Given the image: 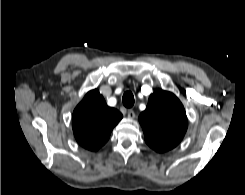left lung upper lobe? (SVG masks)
<instances>
[{
  "mask_svg": "<svg viewBox=\"0 0 245 195\" xmlns=\"http://www.w3.org/2000/svg\"><path fill=\"white\" fill-rule=\"evenodd\" d=\"M139 122L146 143L160 153L176 147L188 126L185 109L179 99L171 92L160 89L149 97Z\"/></svg>",
  "mask_w": 245,
  "mask_h": 195,
  "instance_id": "1",
  "label": "left lung upper lobe"
}]
</instances>
